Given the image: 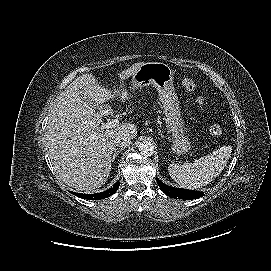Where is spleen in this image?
<instances>
[{
    "label": "spleen",
    "mask_w": 271,
    "mask_h": 271,
    "mask_svg": "<svg viewBox=\"0 0 271 271\" xmlns=\"http://www.w3.org/2000/svg\"><path fill=\"white\" fill-rule=\"evenodd\" d=\"M232 148L223 146L211 154L196 159L193 163L179 165L172 163L168 167L171 178L181 187L197 189L208 185L226 166Z\"/></svg>",
    "instance_id": "3e777b00"
}]
</instances>
